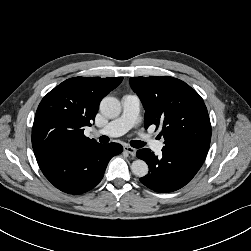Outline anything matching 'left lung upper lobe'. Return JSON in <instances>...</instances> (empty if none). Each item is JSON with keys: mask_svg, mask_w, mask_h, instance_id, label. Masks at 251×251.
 <instances>
[{"mask_svg": "<svg viewBox=\"0 0 251 251\" xmlns=\"http://www.w3.org/2000/svg\"><path fill=\"white\" fill-rule=\"evenodd\" d=\"M130 86L145 108V128L162 127L164 147L207 155L211 124L201 96L185 82L169 77H132Z\"/></svg>", "mask_w": 251, "mask_h": 251, "instance_id": "left-lung-upper-lobe-1", "label": "left lung upper lobe"}]
</instances>
